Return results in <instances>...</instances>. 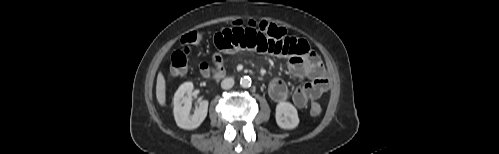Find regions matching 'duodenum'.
<instances>
[{
	"instance_id": "410a0bca",
	"label": "duodenum",
	"mask_w": 499,
	"mask_h": 154,
	"mask_svg": "<svg viewBox=\"0 0 499 154\" xmlns=\"http://www.w3.org/2000/svg\"><path fill=\"white\" fill-rule=\"evenodd\" d=\"M210 76L213 78V79H224V78H227V77H230V75H228L227 73L225 72H219V71H212L210 70Z\"/></svg>"
}]
</instances>
